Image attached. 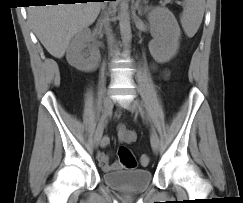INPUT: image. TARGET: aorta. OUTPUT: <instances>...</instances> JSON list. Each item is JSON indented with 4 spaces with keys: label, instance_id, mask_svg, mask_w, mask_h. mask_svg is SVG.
<instances>
[{
    "label": "aorta",
    "instance_id": "aorta-1",
    "mask_svg": "<svg viewBox=\"0 0 243 203\" xmlns=\"http://www.w3.org/2000/svg\"><path fill=\"white\" fill-rule=\"evenodd\" d=\"M118 19L122 41L124 43V46L129 49L132 39V33L128 12V3L126 0H120Z\"/></svg>",
    "mask_w": 243,
    "mask_h": 203
}]
</instances>
